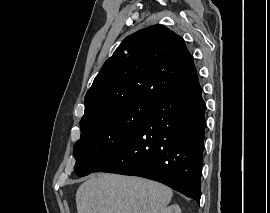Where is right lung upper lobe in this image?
I'll return each mask as SVG.
<instances>
[{"mask_svg": "<svg viewBox=\"0 0 270 213\" xmlns=\"http://www.w3.org/2000/svg\"><path fill=\"white\" fill-rule=\"evenodd\" d=\"M195 73L193 57L179 35L163 25L141 29L103 64L86 93L80 122L133 101L158 103Z\"/></svg>", "mask_w": 270, "mask_h": 213, "instance_id": "right-lung-upper-lobe-1", "label": "right lung upper lobe"}]
</instances>
